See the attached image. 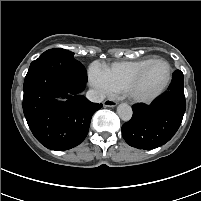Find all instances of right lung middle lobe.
<instances>
[{
  "instance_id": "obj_1",
  "label": "right lung middle lobe",
  "mask_w": 201,
  "mask_h": 201,
  "mask_svg": "<svg viewBox=\"0 0 201 201\" xmlns=\"http://www.w3.org/2000/svg\"><path fill=\"white\" fill-rule=\"evenodd\" d=\"M47 55H60V56H63L65 58H70V59H74L73 56H74V53L73 52H70L68 50H65V49H61V48H55V49H50V50H47L45 51L41 56H47ZM84 72V75L86 76V72Z\"/></svg>"
}]
</instances>
